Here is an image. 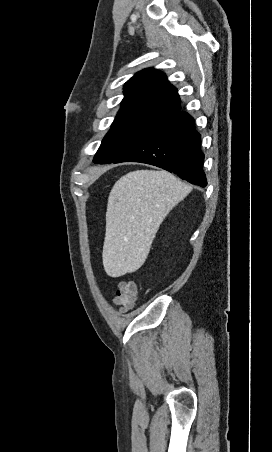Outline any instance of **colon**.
I'll use <instances>...</instances> for the list:
<instances>
[{
	"instance_id": "1",
	"label": "colon",
	"mask_w": 272,
	"mask_h": 452,
	"mask_svg": "<svg viewBox=\"0 0 272 452\" xmlns=\"http://www.w3.org/2000/svg\"><path fill=\"white\" fill-rule=\"evenodd\" d=\"M136 297V284L133 281H121L118 284L113 302L122 311H128L134 307Z\"/></svg>"
}]
</instances>
